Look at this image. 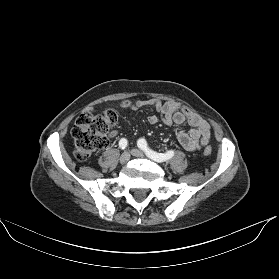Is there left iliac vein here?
I'll list each match as a JSON object with an SVG mask.
<instances>
[{
    "label": "left iliac vein",
    "instance_id": "obj_1",
    "mask_svg": "<svg viewBox=\"0 0 279 279\" xmlns=\"http://www.w3.org/2000/svg\"><path fill=\"white\" fill-rule=\"evenodd\" d=\"M131 154L135 157H143L144 154L138 149H132Z\"/></svg>",
    "mask_w": 279,
    "mask_h": 279
}]
</instances>
